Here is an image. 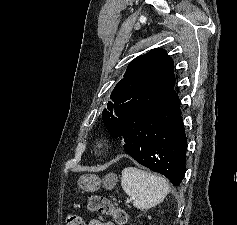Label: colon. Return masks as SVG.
<instances>
[{
	"instance_id": "5ec220e1",
	"label": "colon",
	"mask_w": 237,
	"mask_h": 225,
	"mask_svg": "<svg viewBox=\"0 0 237 225\" xmlns=\"http://www.w3.org/2000/svg\"><path fill=\"white\" fill-rule=\"evenodd\" d=\"M88 209L92 212L105 216H111L117 225H127L129 222L128 213L117 207L109 198L101 195H92L88 198ZM66 225H84L81 216L70 213L65 219Z\"/></svg>"
}]
</instances>
